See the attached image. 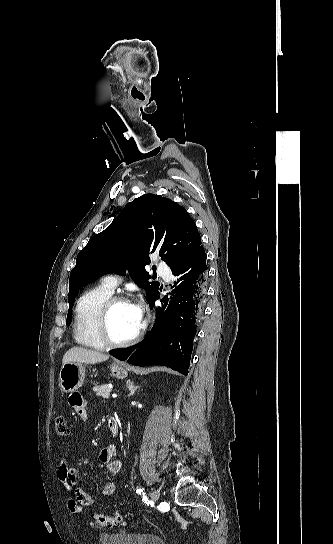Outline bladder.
Here are the masks:
<instances>
[{
  "label": "bladder",
  "mask_w": 333,
  "mask_h": 544,
  "mask_svg": "<svg viewBox=\"0 0 333 544\" xmlns=\"http://www.w3.org/2000/svg\"><path fill=\"white\" fill-rule=\"evenodd\" d=\"M98 541L99 544H166L162 538L150 533H102Z\"/></svg>",
  "instance_id": "bladder-1"
}]
</instances>
